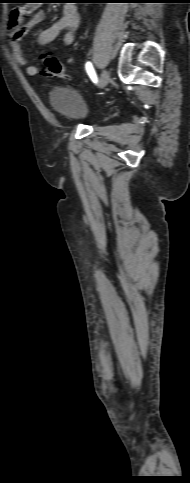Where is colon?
I'll list each match as a JSON object with an SVG mask.
<instances>
[{
	"instance_id": "1",
	"label": "colon",
	"mask_w": 190,
	"mask_h": 483,
	"mask_svg": "<svg viewBox=\"0 0 190 483\" xmlns=\"http://www.w3.org/2000/svg\"><path fill=\"white\" fill-rule=\"evenodd\" d=\"M42 72L48 78L68 79L65 73L64 63L53 56H47L45 58Z\"/></svg>"
}]
</instances>
